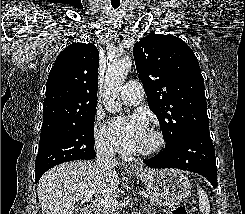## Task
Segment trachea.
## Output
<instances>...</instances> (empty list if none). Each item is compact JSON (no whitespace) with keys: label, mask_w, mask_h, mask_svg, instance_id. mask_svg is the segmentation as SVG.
Returning <instances> with one entry per match:
<instances>
[{"label":"trachea","mask_w":245,"mask_h":214,"mask_svg":"<svg viewBox=\"0 0 245 214\" xmlns=\"http://www.w3.org/2000/svg\"><path fill=\"white\" fill-rule=\"evenodd\" d=\"M120 6V3H112V7L114 8V9H117L118 7Z\"/></svg>","instance_id":"obj_1"}]
</instances>
